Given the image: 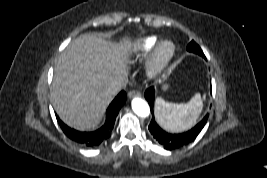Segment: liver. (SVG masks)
Returning <instances> with one entry per match:
<instances>
[{
    "instance_id": "1",
    "label": "liver",
    "mask_w": 267,
    "mask_h": 178,
    "mask_svg": "<svg viewBox=\"0 0 267 178\" xmlns=\"http://www.w3.org/2000/svg\"><path fill=\"white\" fill-rule=\"evenodd\" d=\"M134 51L127 38L117 45L94 33L72 40L58 58L52 83L51 98L61 120L81 131L96 128L114 97L108 87L127 78Z\"/></svg>"
}]
</instances>
